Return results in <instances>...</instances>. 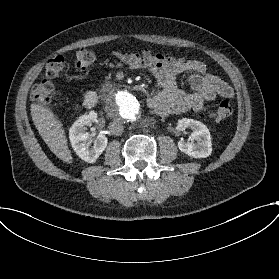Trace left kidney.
Segmentation results:
<instances>
[{
  "label": "left kidney",
  "instance_id": "1",
  "mask_svg": "<svg viewBox=\"0 0 279 279\" xmlns=\"http://www.w3.org/2000/svg\"><path fill=\"white\" fill-rule=\"evenodd\" d=\"M179 128H189L192 130V137L196 143L180 140L178 148L181 152L185 153L192 158H207L212 152L211 134L207 126L203 123L193 119H181L179 121Z\"/></svg>",
  "mask_w": 279,
  "mask_h": 279
}]
</instances>
